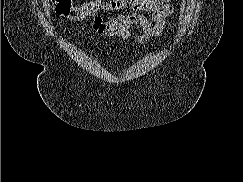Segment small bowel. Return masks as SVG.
Listing matches in <instances>:
<instances>
[{"label": "small bowel", "mask_w": 243, "mask_h": 182, "mask_svg": "<svg viewBox=\"0 0 243 182\" xmlns=\"http://www.w3.org/2000/svg\"><path fill=\"white\" fill-rule=\"evenodd\" d=\"M130 9L108 19L95 17L93 30L109 39L127 40L130 28L140 25L141 34L137 37L139 44H145L160 37L166 25V19L173 12L171 0H132Z\"/></svg>", "instance_id": "obj_1"}]
</instances>
